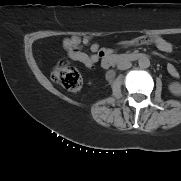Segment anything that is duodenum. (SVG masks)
Wrapping results in <instances>:
<instances>
[{
    "label": "duodenum",
    "instance_id": "1",
    "mask_svg": "<svg viewBox=\"0 0 181 181\" xmlns=\"http://www.w3.org/2000/svg\"><path fill=\"white\" fill-rule=\"evenodd\" d=\"M143 57L142 53L132 52V53H125L120 55L115 54H105L102 59V64L104 67L109 68L115 65H122L127 62L136 61ZM109 79L114 77V73L112 71L108 72L107 74Z\"/></svg>",
    "mask_w": 181,
    "mask_h": 181
}]
</instances>
